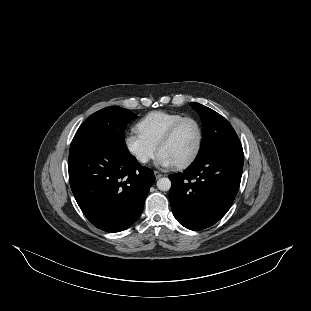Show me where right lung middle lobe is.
<instances>
[{
	"mask_svg": "<svg viewBox=\"0 0 311 311\" xmlns=\"http://www.w3.org/2000/svg\"><path fill=\"white\" fill-rule=\"evenodd\" d=\"M130 110L110 106L92 114L77 130L70 150L91 142H102L127 150L124 131L129 121L135 119Z\"/></svg>",
	"mask_w": 311,
	"mask_h": 311,
	"instance_id": "dd1d6c3e",
	"label": "right lung middle lobe"
}]
</instances>
